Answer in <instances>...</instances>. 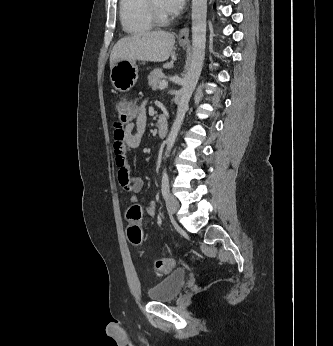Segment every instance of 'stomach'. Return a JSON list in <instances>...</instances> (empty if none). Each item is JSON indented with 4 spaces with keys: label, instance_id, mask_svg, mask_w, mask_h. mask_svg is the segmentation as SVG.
<instances>
[{
    "label": "stomach",
    "instance_id": "0dacf381",
    "mask_svg": "<svg viewBox=\"0 0 333 346\" xmlns=\"http://www.w3.org/2000/svg\"><path fill=\"white\" fill-rule=\"evenodd\" d=\"M184 46V43H180ZM138 67L135 61L122 60L116 62L110 71V81L113 87L120 92L129 91L137 82Z\"/></svg>",
    "mask_w": 333,
    "mask_h": 346
}]
</instances>
